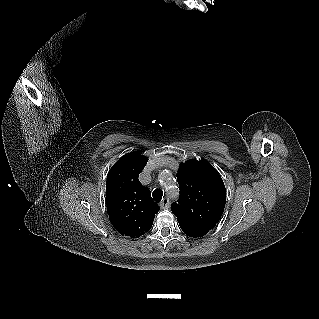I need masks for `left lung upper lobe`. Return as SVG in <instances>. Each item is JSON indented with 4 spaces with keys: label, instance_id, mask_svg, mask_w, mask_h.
Wrapping results in <instances>:
<instances>
[{
    "label": "left lung upper lobe",
    "instance_id": "left-lung-upper-lobe-1",
    "mask_svg": "<svg viewBox=\"0 0 319 319\" xmlns=\"http://www.w3.org/2000/svg\"><path fill=\"white\" fill-rule=\"evenodd\" d=\"M180 199L172 205L179 223L209 231L220 220L226 189L218 171L208 162L188 160L177 173Z\"/></svg>",
    "mask_w": 319,
    "mask_h": 319
}]
</instances>
